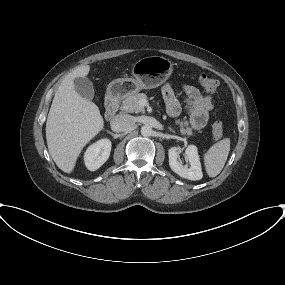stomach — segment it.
Masks as SVG:
<instances>
[{"label": "stomach", "mask_w": 285, "mask_h": 285, "mask_svg": "<svg viewBox=\"0 0 285 285\" xmlns=\"http://www.w3.org/2000/svg\"><path fill=\"white\" fill-rule=\"evenodd\" d=\"M172 71L173 64L165 57L142 58L133 65V77L113 80L107 87V94L112 98H125L141 89L156 88L166 82Z\"/></svg>", "instance_id": "1"}]
</instances>
